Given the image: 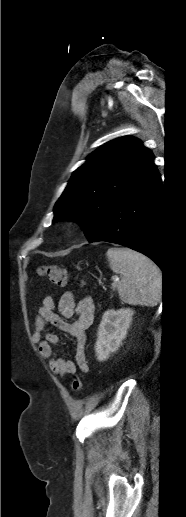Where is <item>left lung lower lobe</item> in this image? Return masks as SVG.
<instances>
[{
	"label": "left lung lower lobe",
	"instance_id": "0a47b994",
	"mask_svg": "<svg viewBox=\"0 0 186 517\" xmlns=\"http://www.w3.org/2000/svg\"><path fill=\"white\" fill-rule=\"evenodd\" d=\"M161 178L152 163L114 204L90 242L106 241L138 251L165 272L160 250L162 223Z\"/></svg>",
	"mask_w": 186,
	"mask_h": 517
}]
</instances>
